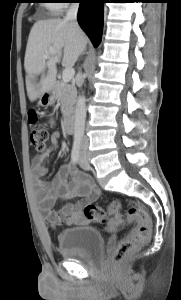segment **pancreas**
<instances>
[{
  "label": "pancreas",
  "instance_id": "obj_1",
  "mask_svg": "<svg viewBox=\"0 0 181 300\" xmlns=\"http://www.w3.org/2000/svg\"><path fill=\"white\" fill-rule=\"evenodd\" d=\"M56 99L61 102V112L64 117L73 112V106L76 102L77 91L74 84L64 81H57L54 86Z\"/></svg>",
  "mask_w": 181,
  "mask_h": 300
}]
</instances>
